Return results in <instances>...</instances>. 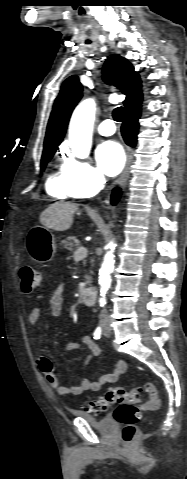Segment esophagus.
I'll use <instances>...</instances> for the list:
<instances>
[{
  "label": "esophagus",
  "instance_id": "1",
  "mask_svg": "<svg viewBox=\"0 0 187 479\" xmlns=\"http://www.w3.org/2000/svg\"><path fill=\"white\" fill-rule=\"evenodd\" d=\"M132 162V151L130 149H127V161H126V164H125V167L118 179V183L120 184H123L128 176H129V170H130V164Z\"/></svg>",
  "mask_w": 187,
  "mask_h": 479
}]
</instances>
